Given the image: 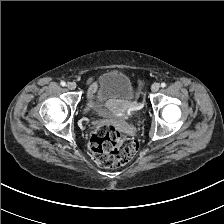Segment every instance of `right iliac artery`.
Listing matches in <instances>:
<instances>
[{"label":"right iliac artery","mask_w":224,"mask_h":224,"mask_svg":"<svg viewBox=\"0 0 224 224\" xmlns=\"http://www.w3.org/2000/svg\"><path fill=\"white\" fill-rule=\"evenodd\" d=\"M61 86H65L66 85V83H65V81H61Z\"/></svg>","instance_id":"1"}]
</instances>
